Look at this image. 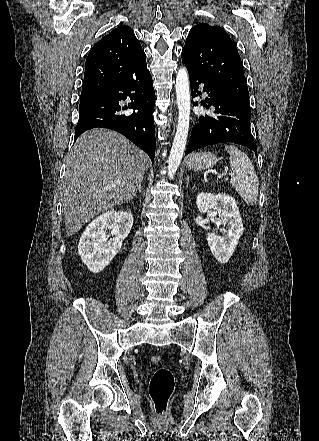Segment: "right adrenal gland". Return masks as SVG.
<instances>
[{
	"label": "right adrenal gland",
	"mask_w": 319,
	"mask_h": 441,
	"mask_svg": "<svg viewBox=\"0 0 319 441\" xmlns=\"http://www.w3.org/2000/svg\"><path fill=\"white\" fill-rule=\"evenodd\" d=\"M137 191H138L139 193H142L141 183L138 184L137 190H136L135 193L133 194V197H136V193H137Z\"/></svg>",
	"instance_id": "right-adrenal-gland-1"
}]
</instances>
